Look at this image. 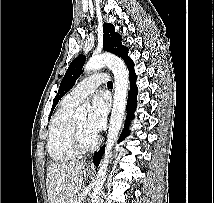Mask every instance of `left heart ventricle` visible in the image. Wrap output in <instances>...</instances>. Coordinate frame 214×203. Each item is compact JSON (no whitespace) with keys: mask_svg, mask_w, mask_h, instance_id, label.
Returning a JSON list of instances; mask_svg holds the SVG:
<instances>
[{"mask_svg":"<svg viewBox=\"0 0 214 203\" xmlns=\"http://www.w3.org/2000/svg\"><path fill=\"white\" fill-rule=\"evenodd\" d=\"M75 124L77 125V127L80 129L82 136H83V140L86 144H89L93 137L94 134H92L86 127V119L85 118H81L77 121H75Z\"/></svg>","mask_w":214,"mask_h":203,"instance_id":"1","label":"left heart ventricle"}]
</instances>
